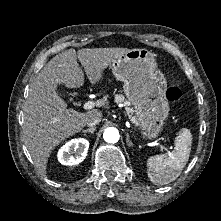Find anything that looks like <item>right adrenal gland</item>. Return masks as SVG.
<instances>
[{"mask_svg": "<svg viewBox=\"0 0 221 221\" xmlns=\"http://www.w3.org/2000/svg\"><path fill=\"white\" fill-rule=\"evenodd\" d=\"M95 129L96 127L88 128V129L83 130V133L90 132L91 134H94Z\"/></svg>", "mask_w": 221, "mask_h": 221, "instance_id": "1", "label": "right adrenal gland"}]
</instances>
